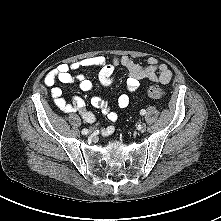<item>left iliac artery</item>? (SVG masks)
<instances>
[{"instance_id": "44dca946", "label": "left iliac artery", "mask_w": 221, "mask_h": 221, "mask_svg": "<svg viewBox=\"0 0 221 221\" xmlns=\"http://www.w3.org/2000/svg\"><path fill=\"white\" fill-rule=\"evenodd\" d=\"M140 114H141V115H144V114H146V111H145L144 109H142V110L140 111Z\"/></svg>"}]
</instances>
